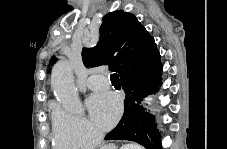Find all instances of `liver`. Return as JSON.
<instances>
[{
  "mask_svg": "<svg viewBox=\"0 0 227 149\" xmlns=\"http://www.w3.org/2000/svg\"><path fill=\"white\" fill-rule=\"evenodd\" d=\"M136 149H143L142 146L139 145H134ZM101 149H116V146L114 144H108V145H104L102 146Z\"/></svg>",
  "mask_w": 227,
  "mask_h": 149,
  "instance_id": "6515ba94",
  "label": "liver"
}]
</instances>
